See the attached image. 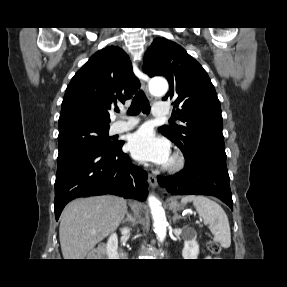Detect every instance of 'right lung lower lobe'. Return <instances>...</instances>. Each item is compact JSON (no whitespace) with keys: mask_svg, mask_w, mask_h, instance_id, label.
<instances>
[{"mask_svg":"<svg viewBox=\"0 0 287 287\" xmlns=\"http://www.w3.org/2000/svg\"><path fill=\"white\" fill-rule=\"evenodd\" d=\"M124 142L111 150L72 147L59 152L55 181L56 220L65 205L79 197L113 194L144 201L147 173L134 166L122 151Z\"/></svg>","mask_w":287,"mask_h":287,"instance_id":"98d812e1","label":"right lung lower lobe"}]
</instances>
